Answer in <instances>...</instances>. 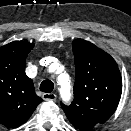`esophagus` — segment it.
<instances>
[{
	"instance_id": "esophagus-1",
	"label": "esophagus",
	"mask_w": 131,
	"mask_h": 131,
	"mask_svg": "<svg viewBox=\"0 0 131 131\" xmlns=\"http://www.w3.org/2000/svg\"><path fill=\"white\" fill-rule=\"evenodd\" d=\"M42 97L45 101H54L57 96L55 93H44Z\"/></svg>"
}]
</instances>
